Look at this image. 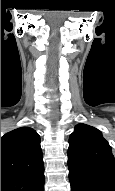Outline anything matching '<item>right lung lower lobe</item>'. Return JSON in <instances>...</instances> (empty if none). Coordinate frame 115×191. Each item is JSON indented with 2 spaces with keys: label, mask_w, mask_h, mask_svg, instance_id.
<instances>
[{
  "label": "right lung lower lobe",
  "mask_w": 115,
  "mask_h": 191,
  "mask_svg": "<svg viewBox=\"0 0 115 191\" xmlns=\"http://www.w3.org/2000/svg\"><path fill=\"white\" fill-rule=\"evenodd\" d=\"M44 169L24 177L1 178V191H44Z\"/></svg>",
  "instance_id": "98d812e1"
}]
</instances>
